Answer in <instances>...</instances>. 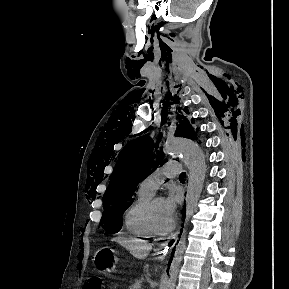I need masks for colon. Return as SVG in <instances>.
I'll use <instances>...</instances> for the list:
<instances>
[{
  "label": "colon",
  "mask_w": 289,
  "mask_h": 289,
  "mask_svg": "<svg viewBox=\"0 0 289 289\" xmlns=\"http://www.w3.org/2000/svg\"><path fill=\"white\" fill-rule=\"evenodd\" d=\"M84 289H104L103 283L98 279H89L84 286Z\"/></svg>",
  "instance_id": "5ec220e1"
}]
</instances>
